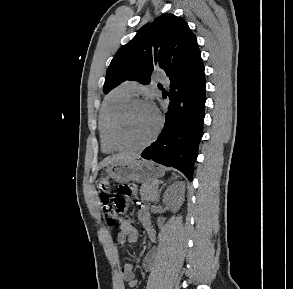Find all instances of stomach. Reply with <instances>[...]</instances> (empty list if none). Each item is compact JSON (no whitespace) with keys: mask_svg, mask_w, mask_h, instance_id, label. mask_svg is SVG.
Instances as JSON below:
<instances>
[{"mask_svg":"<svg viewBox=\"0 0 293 289\" xmlns=\"http://www.w3.org/2000/svg\"><path fill=\"white\" fill-rule=\"evenodd\" d=\"M106 177L99 182V189L109 193V179L118 183L135 181L140 183H152L165 174L163 168L146 160L117 161L106 169Z\"/></svg>","mask_w":293,"mask_h":289,"instance_id":"0dacf381","label":"stomach"}]
</instances>
